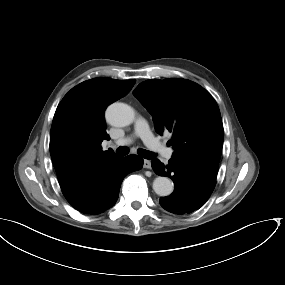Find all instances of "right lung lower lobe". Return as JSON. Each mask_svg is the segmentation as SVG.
I'll return each mask as SVG.
<instances>
[{
    "label": "right lung lower lobe",
    "instance_id": "1",
    "mask_svg": "<svg viewBox=\"0 0 285 285\" xmlns=\"http://www.w3.org/2000/svg\"><path fill=\"white\" fill-rule=\"evenodd\" d=\"M143 167V159L129 155L106 166L68 202L83 214L97 215L112 207L124 177Z\"/></svg>",
    "mask_w": 285,
    "mask_h": 285
}]
</instances>
